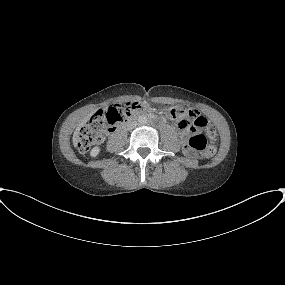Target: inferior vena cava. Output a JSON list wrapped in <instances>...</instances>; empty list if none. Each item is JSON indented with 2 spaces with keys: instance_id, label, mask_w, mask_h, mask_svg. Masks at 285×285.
I'll use <instances>...</instances> for the list:
<instances>
[{
  "instance_id": "1",
  "label": "inferior vena cava",
  "mask_w": 285,
  "mask_h": 285,
  "mask_svg": "<svg viewBox=\"0 0 285 285\" xmlns=\"http://www.w3.org/2000/svg\"><path fill=\"white\" fill-rule=\"evenodd\" d=\"M137 126V122H131L129 124H127V129L128 130H132Z\"/></svg>"
}]
</instances>
